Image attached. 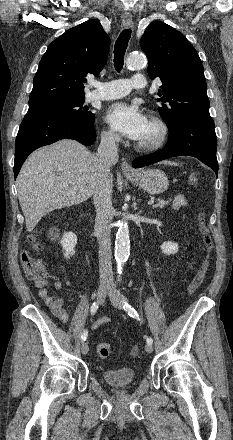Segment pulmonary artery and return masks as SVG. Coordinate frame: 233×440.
<instances>
[{
	"label": "pulmonary artery",
	"instance_id": "1",
	"mask_svg": "<svg viewBox=\"0 0 233 440\" xmlns=\"http://www.w3.org/2000/svg\"><path fill=\"white\" fill-rule=\"evenodd\" d=\"M145 86V77L142 74H135L130 79H118L95 84L96 89L89 94V99H118L128 95L132 89H142Z\"/></svg>",
	"mask_w": 233,
	"mask_h": 440
}]
</instances>
